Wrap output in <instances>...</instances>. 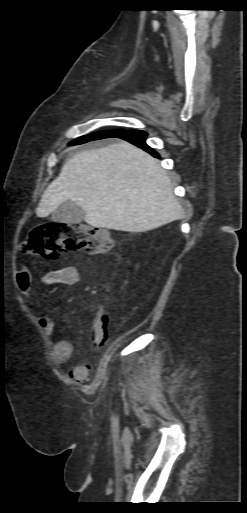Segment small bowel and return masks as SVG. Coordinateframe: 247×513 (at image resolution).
I'll list each match as a JSON object with an SVG mask.
<instances>
[{
    "label": "small bowel",
    "instance_id": "obj_1",
    "mask_svg": "<svg viewBox=\"0 0 247 513\" xmlns=\"http://www.w3.org/2000/svg\"><path fill=\"white\" fill-rule=\"evenodd\" d=\"M32 274L30 269L24 268L17 274V283L24 295H29L31 289ZM80 275L76 267L68 266L48 273L42 283L46 286L57 284H76ZM37 322L50 340L53 360L58 364L66 363L73 354L72 343L66 339L59 338L55 334L56 325L51 317L45 314L37 315ZM75 382H84L90 376L89 367L81 362L73 368L69 374Z\"/></svg>",
    "mask_w": 247,
    "mask_h": 513
}]
</instances>
